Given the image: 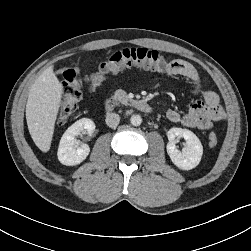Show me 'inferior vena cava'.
Wrapping results in <instances>:
<instances>
[{
  "mask_svg": "<svg viewBox=\"0 0 251 251\" xmlns=\"http://www.w3.org/2000/svg\"><path fill=\"white\" fill-rule=\"evenodd\" d=\"M105 121L109 127L115 128L119 124L120 116L116 113H108L106 115Z\"/></svg>",
  "mask_w": 251,
  "mask_h": 251,
  "instance_id": "obj_1",
  "label": "inferior vena cava"
}]
</instances>
